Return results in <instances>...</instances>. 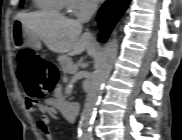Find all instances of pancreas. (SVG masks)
<instances>
[{
    "label": "pancreas",
    "mask_w": 182,
    "mask_h": 140,
    "mask_svg": "<svg viewBox=\"0 0 182 140\" xmlns=\"http://www.w3.org/2000/svg\"><path fill=\"white\" fill-rule=\"evenodd\" d=\"M59 63H60V66L62 68V71L65 73V74H69L72 72V70L74 68H76V66L73 64L72 62V59L70 57H67V56H62L59 58Z\"/></svg>",
    "instance_id": "1"
}]
</instances>
